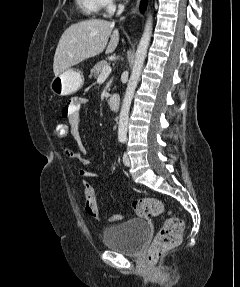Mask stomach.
Returning <instances> with one entry per match:
<instances>
[{"label":"stomach","instance_id":"stomach-1","mask_svg":"<svg viewBox=\"0 0 240 287\" xmlns=\"http://www.w3.org/2000/svg\"><path fill=\"white\" fill-rule=\"evenodd\" d=\"M84 84V76L79 69L68 68L58 76H55L50 83V90L53 95L66 96L78 91Z\"/></svg>","mask_w":240,"mask_h":287}]
</instances>
